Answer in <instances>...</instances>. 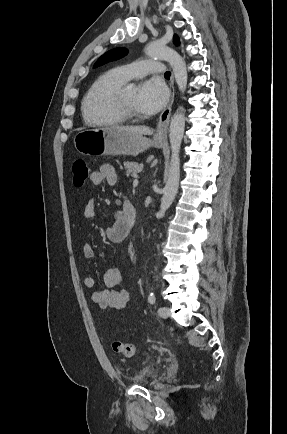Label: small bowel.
<instances>
[{
    "label": "small bowel",
    "instance_id": "obj_1",
    "mask_svg": "<svg viewBox=\"0 0 287 434\" xmlns=\"http://www.w3.org/2000/svg\"><path fill=\"white\" fill-rule=\"evenodd\" d=\"M90 180L94 185L106 183L113 186L117 183V173L112 165L103 164L98 170L92 172ZM127 203L129 202H124L117 209L114 223L106 228V237L112 243H121L129 235L130 227L125 214ZM96 209L97 205L95 200L90 199L84 206V216L86 218H93L96 214ZM82 253L85 258H92L95 255L94 248L88 242L83 243ZM102 282L105 288L91 293L93 303L100 308H110L114 310L125 308L130 300V295L128 291L117 288L123 282L121 271L117 267H108L103 273ZM83 283L86 288H92L94 286V279L91 276H86Z\"/></svg>",
    "mask_w": 287,
    "mask_h": 434
}]
</instances>
